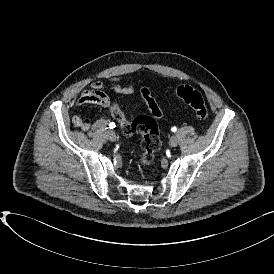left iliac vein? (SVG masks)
<instances>
[{
    "instance_id": "obj_1",
    "label": "left iliac vein",
    "mask_w": 274,
    "mask_h": 274,
    "mask_svg": "<svg viewBox=\"0 0 274 274\" xmlns=\"http://www.w3.org/2000/svg\"><path fill=\"white\" fill-rule=\"evenodd\" d=\"M169 144L171 147H176L178 145V138L176 136H172L170 138Z\"/></svg>"
}]
</instances>
